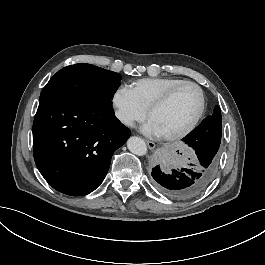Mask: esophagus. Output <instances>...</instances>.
I'll use <instances>...</instances> for the list:
<instances>
[{
  "instance_id": "34e87169",
  "label": "esophagus",
  "mask_w": 265,
  "mask_h": 265,
  "mask_svg": "<svg viewBox=\"0 0 265 265\" xmlns=\"http://www.w3.org/2000/svg\"><path fill=\"white\" fill-rule=\"evenodd\" d=\"M146 143H147L148 148H149L150 150H153V149L155 148V143H154V142L149 141V140H146Z\"/></svg>"
}]
</instances>
